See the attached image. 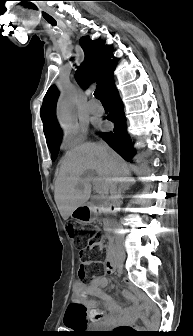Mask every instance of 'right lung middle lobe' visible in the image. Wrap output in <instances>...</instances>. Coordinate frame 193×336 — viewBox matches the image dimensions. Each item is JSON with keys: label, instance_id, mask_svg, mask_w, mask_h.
I'll use <instances>...</instances> for the list:
<instances>
[{"label": "right lung middle lobe", "instance_id": "right-lung-middle-lobe-1", "mask_svg": "<svg viewBox=\"0 0 193 336\" xmlns=\"http://www.w3.org/2000/svg\"><path fill=\"white\" fill-rule=\"evenodd\" d=\"M61 140H62V134L58 135L57 137H55L54 139H52L47 143L48 148L51 152L52 161H55L58 155Z\"/></svg>", "mask_w": 193, "mask_h": 336}]
</instances>
